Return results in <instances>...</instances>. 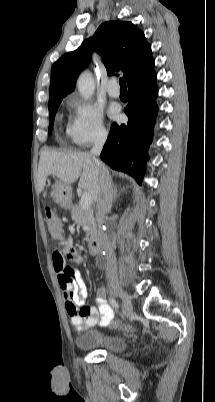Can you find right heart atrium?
Returning <instances> with one entry per match:
<instances>
[{"label": "right heart atrium", "mask_w": 215, "mask_h": 402, "mask_svg": "<svg viewBox=\"0 0 215 402\" xmlns=\"http://www.w3.org/2000/svg\"><path fill=\"white\" fill-rule=\"evenodd\" d=\"M74 117L67 127V134L72 143L87 147L101 142L106 137L102 110L88 102L72 100Z\"/></svg>", "instance_id": "1"}]
</instances>
